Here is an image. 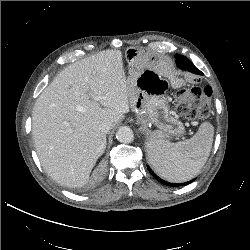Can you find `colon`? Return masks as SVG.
Wrapping results in <instances>:
<instances>
[{
  "mask_svg": "<svg viewBox=\"0 0 250 250\" xmlns=\"http://www.w3.org/2000/svg\"><path fill=\"white\" fill-rule=\"evenodd\" d=\"M210 98L209 87H193L177 93L175 103L178 110L189 119H200L210 114Z\"/></svg>",
  "mask_w": 250,
  "mask_h": 250,
  "instance_id": "5ec220e1",
  "label": "colon"
}]
</instances>
